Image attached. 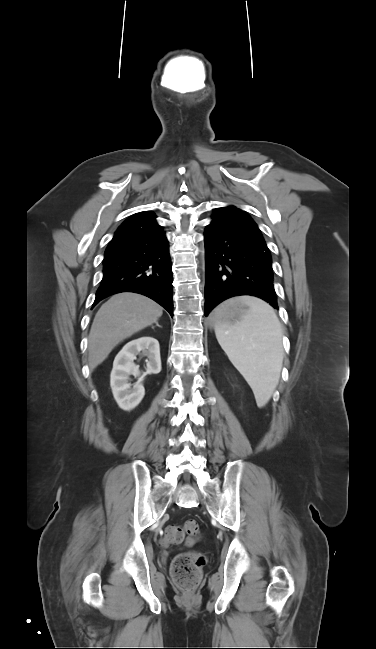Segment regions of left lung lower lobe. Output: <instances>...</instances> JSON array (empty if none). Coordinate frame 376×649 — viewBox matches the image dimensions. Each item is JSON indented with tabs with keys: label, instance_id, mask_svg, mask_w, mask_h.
I'll list each match as a JSON object with an SVG mask.
<instances>
[{
	"label": "left lung lower lobe",
	"instance_id": "0a47b994",
	"mask_svg": "<svg viewBox=\"0 0 376 649\" xmlns=\"http://www.w3.org/2000/svg\"><path fill=\"white\" fill-rule=\"evenodd\" d=\"M204 243L205 316L222 301L240 295L259 297L278 309L272 259L260 231L213 216Z\"/></svg>",
	"mask_w": 376,
	"mask_h": 649
}]
</instances>
